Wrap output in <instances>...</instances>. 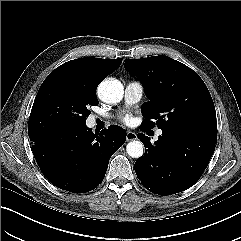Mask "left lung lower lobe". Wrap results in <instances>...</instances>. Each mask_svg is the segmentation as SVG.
Segmentation results:
<instances>
[{
    "label": "left lung lower lobe",
    "instance_id": "obj_1",
    "mask_svg": "<svg viewBox=\"0 0 241 241\" xmlns=\"http://www.w3.org/2000/svg\"><path fill=\"white\" fill-rule=\"evenodd\" d=\"M138 138L146 148L134 166L138 179L153 193L171 195L197 182L214 153L217 135L166 128L154 144L143 133Z\"/></svg>",
    "mask_w": 241,
    "mask_h": 241
}]
</instances>
